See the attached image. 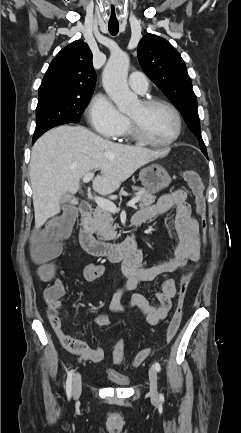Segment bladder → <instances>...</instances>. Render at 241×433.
I'll list each match as a JSON object with an SVG mask.
<instances>
[{"label": "bladder", "instance_id": "bladder-1", "mask_svg": "<svg viewBox=\"0 0 241 433\" xmlns=\"http://www.w3.org/2000/svg\"><path fill=\"white\" fill-rule=\"evenodd\" d=\"M108 380L116 387H127L130 385V378L126 375L112 371L107 374Z\"/></svg>", "mask_w": 241, "mask_h": 433}]
</instances>
